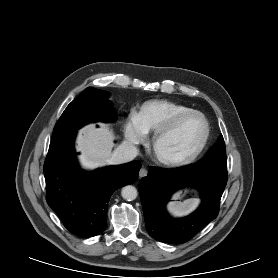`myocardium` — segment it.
Instances as JSON below:
<instances>
[{
    "label": "myocardium",
    "mask_w": 278,
    "mask_h": 278,
    "mask_svg": "<svg viewBox=\"0 0 278 278\" xmlns=\"http://www.w3.org/2000/svg\"><path fill=\"white\" fill-rule=\"evenodd\" d=\"M190 116H199L205 125V131L198 146L192 152L183 156H168L163 154L160 150V144L177 129L183 120ZM210 132L211 128L207 117L200 111L189 110L177 115L168 124L154 133L150 144V150L155 160L162 165L169 167L187 165L193 162L203 152L208 143Z\"/></svg>",
    "instance_id": "obj_1"
}]
</instances>
